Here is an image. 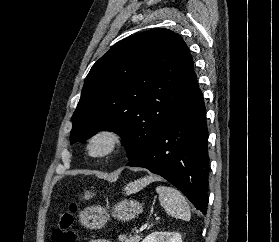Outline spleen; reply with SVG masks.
Segmentation results:
<instances>
[{"mask_svg":"<svg viewBox=\"0 0 279 242\" xmlns=\"http://www.w3.org/2000/svg\"><path fill=\"white\" fill-rule=\"evenodd\" d=\"M156 192L159 195L161 206L166 210L167 214L185 221L191 218L190 208L182 193L167 186L156 187Z\"/></svg>","mask_w":279,"mask_h":242,"instance_id":"obj_1","label":"spleen"}]
</instances>
